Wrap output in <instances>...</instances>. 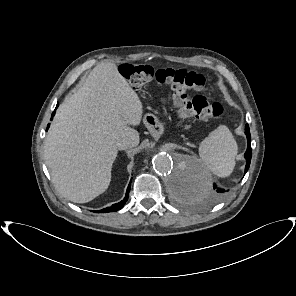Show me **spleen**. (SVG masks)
I'll list each match as a JSON object with an SVG mask.
<instances>
[{
  "label": "spleen",
  "instance_id": "1",
  "mask_svg": "<svg viewBox=\"0 0 296 296\" xmlns=\"http://www.w3.org/2000/svg\"><path fill=\"white\" fill-rule=\"evenodd\" d=\"M199 155L215 175L229 176L235 167V156L237 155V143L229 128L220 125L212 131L201 142ZM195 194L199 195V193Z\"/></svg>",
  "mask_w": 296,
  "mask_h": 296
}]
</instances>
